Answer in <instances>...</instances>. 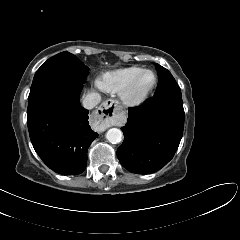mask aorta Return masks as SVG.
<instances>
[{
  "mask_svg": "<svg viewBox=\"0 0 240 240\" xmlns=\"http://www.w3.org/2000/svg\"><path fill=\"white\" fill-rule=\"evenodd\" d=\"M122 136V131L118 128H111L106 133V139L112 144L121 142Z\"/></svg>",
  "mask_w": 240,
  "mask_h": 240,
  "instance_id": "obj_1",
  "label": "aorta"
}]
</instances>
